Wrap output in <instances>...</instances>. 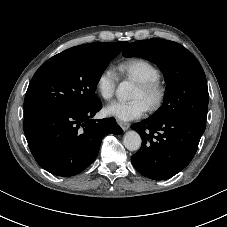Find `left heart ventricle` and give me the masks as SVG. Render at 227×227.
<instances>
[{
  "mask_svg": "<svg viewBox=\"0 0 227 227\" xmlns=\"http://www.w3.org/2000/svg\"><path fill=\"white\" fill-rule=\"evenodd\" d=\"M134 98L135 99H143L145 101L143 92H142V90L140 89L139 86H137V88H136V91H135V94H134Z\"/></svg>",
  "mask_w": 227,
  "mask_h": 227,
  "instance_id": "b2bd125f",
  "label": "left heart ventricle"
}]
</instances>
